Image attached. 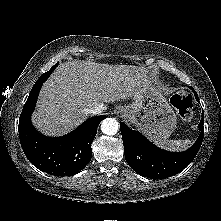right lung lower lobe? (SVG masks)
I'll use <instances>...</instances> for the list:
<instances>
[{
    "instance_id": "right-lung-lower-lobe-1",
    "label": "right lung lower lobe",
    "mask_w": 221,
    "mask_h": 221,
    "mask_svg": "<svg viewBox=\"0 0 221 221\" xmlns=\"http://www.w3.org/2000/svg\"><path fill=\"white\" fill-rule=\"evenodd\" d=\"M49 76L40 77L29 94L19 119V138L26 157L35 167L58 176L72 175L90 162L91 144L105 116L92 117L63 137L41 135L31 123V114Z\"/></svg>"
}]
</instances>
